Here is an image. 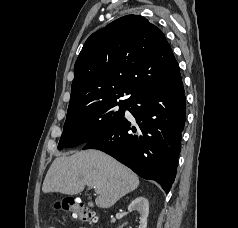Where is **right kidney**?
<instances>
[{
	"label": "right kidney",
	"mask_w": 238,
	"mask_h": 228,
	"mask_svg": "<svg viewBox=\"0 0 238 228\" xmlns=\"http://www.w3.org/2000/svg\"><path fill=\"white\" fill-rule=\"evenodd\" d=\"M138 211L140 214L139 228H147V218L149 214V202L145 197H137L128 206V211Z\"/></svg>",
	"instance_id": "1"
}]
</instances>
